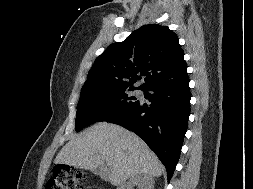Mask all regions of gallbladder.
<instances>
[{
    "mask_svg": "<svg viewBox=\"0 0 253 189\" xmlns=\"http://www.w3.org/2000/svg\"><path fill=\"white\" fill-rule=\"evenodd\" d=\"M94 173L97 174V175H101L102 178H104V173H103V171H102L101 169H99V170H94Z\"/></svg>",
    "mask_w": 253,
    "mask_h": 189,
    "instance_id": "1",
    "label": "gallbladder"
}]
</instances>
